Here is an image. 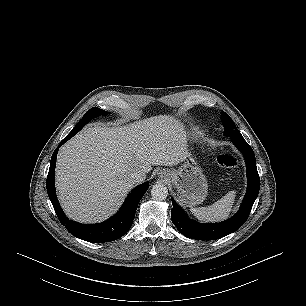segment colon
Returning a JSON list of instances; mask_svg holds the SVG:
<instances>
[{"label":"colon","instance_id":"obj_1","mask_svg":"<svg viewBox=\"0 0 306 306\" xmlns=\"http://www.w3.org/2000/svg\"><path fill=\"white\" fill-rule=\"evenodd\" d=\"M215 161L222 167H234L238 164L237 157L231 152H223L215 157Z\"/></svg>","mask_w":306,"mask_h":306}]
</instances>
